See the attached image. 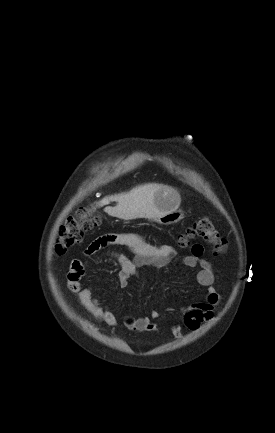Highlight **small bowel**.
<instances>
[{
  "label": "small bowel",
  "instance_id": "c3829d8e",
  "mask_svg": "<svg viewBox=\"0 0 275 433\" xmlns=\"http://www.w3.org/2000/svg\"><path fill=\"white\" fill-rule=\"evenodd\" d=\"M121 246L130 250L135 259L130 260L125 255L109 251V255L120 265L118 274L119 285L123 288L128 287L130 279L138 274L140 267H159L165 266L175 256L176 251L171 245H153L145 241L142 237L131 233H109L93 241L86 249L88 255H93L105 250L107 246ZM203 247L194 244L191 254L183 259V264L189 268H198L196 274L197 283L207 289L203 301L193 303L183 309V324L191 331L199 328L200 324L212 319L215 308L220 302V295L214 284V271L212 264L202 258ZM85 264L80 259H73L67 274V284L69 289L77 296L79 302L96 318L110 327L118 325L116 315L107 307L100 303L99 299L93 294L89 287H85L82 282ZM160 313L153 310L150 316L123 318V325L134 332H153L156 325L153 320L160 318ZM171 333L175 338L183 336V329L180 325H173Z\"/></svg>",
  "mask_w": 275,
  "mask_h": 433
}]
</instances>
